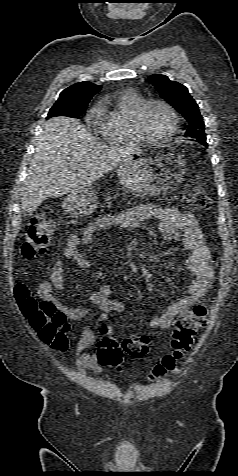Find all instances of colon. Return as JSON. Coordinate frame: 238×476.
<instances>
[{
  "label": "colon",
  "mask_w": 238,
  "mask_h": 476,
  "mask_svg": "<svg viewBox=\"0 0 238 476\" xmlns=\"http://www.w3.org/2000/svg\"><path fill=\"white\" fill-rule=\"evenodd\" d=\"M184 205L193 211H204L210 208L211 199L197 183L185 186ZM53 223L43 216L34 217L27 228L26 238L21 253L26 259H33L46 253ZM16 296L23 315L38 334L44 344L57 351H65L68 347L67 333L69 325L66 318L47 302L33 298L25 285L16 287ZM207 325V310L201 305L185 309L180 313L174 324L171 339V352L153 368L151 379L164 378L178 373L179 364L190 351L197 333ZM104 325L102 333H106ZM150 340L145 335H132L119 344L115 339L102 337L98 342L97 357L103 366L120 369L124 354L133 358L144 357L149 350Z\"/></svg>",
  "instance_id": "5ec220e1"
}]
</instances>
